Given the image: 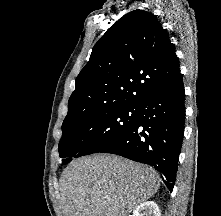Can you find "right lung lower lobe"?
Returning <instances> with one entry per match:
<instances>
[{
	"mask_svg": "<svg viewBox=\"0 0 221 216\" xmlns=\"http://www.w3.org/2000/svg\"><path fill=\"white\" fill-rule=\"evenodd\" d=\"M184 98L179 72L138 105L134 125L100 152L151 165L172 191L184 134Z\"/></svg>",
	"mask_w": 221,
	"mask_h": 216,
	"instance_id": "98d812e1",
	"label": "right lung lower lobe"
}]
</instances>
